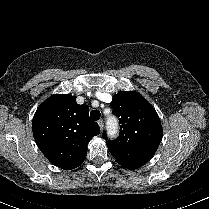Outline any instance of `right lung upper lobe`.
Here are the masks:
<instances>
[{"mask_svg":"<svg viewBox=\"0 0 209 209\" xmlns=\"http://www.w3.org/2000/svg\"><path fill=\"white\" fill-rule=\"evenodd\" d=\"M35 141L55 166L71 170L80 166L87 155V144L100 133L89 118V107L79 105L76 97L56 94L43 102L33 117Z\"/></svg>","mask_w":209,"mask_h":209,"instance_id":"1","label":"right lung upper lobe"}]
</instances>
